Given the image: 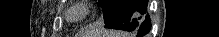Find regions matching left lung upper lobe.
Returning <instances> with one entry per match:
<instances>
[{"label": "left lung upper lobe", "instance_id": "obj_1", "mask_svg": "<svg viewBox=\"0 0 219 37\" xmlns=\"http://www.w3.org/2000/svg\"><path fill=\"white\" fill-rule=\"evenodd\" d=\"M103 9L104 22L107 24L120 0H98Z\"/></svg>", "mask_w": 219, "mask_h": 37}]
</instances>
